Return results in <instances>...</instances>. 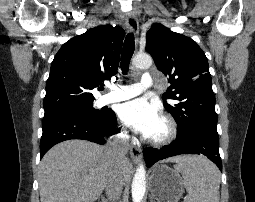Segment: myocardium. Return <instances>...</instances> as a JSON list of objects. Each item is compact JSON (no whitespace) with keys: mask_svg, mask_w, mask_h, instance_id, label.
<instances>
[{"mask_svg":"<svg viewBox=\"0 0 255 202\" xmlns=\"http://www.w3.org/2000/svg\"><path fill=\"white\" fill-rule=\"evenodd\" d=\"M161 121L163 122L165 126V132L161 136H150L149 142L154 145H166L174 141L178 134V126L176 121L169 115H163L161 117Z\"/></svg>","mask_w":255,"mask_h":202,"instance_id":"f54148a6","label":"myocardium"}]
</instances>
